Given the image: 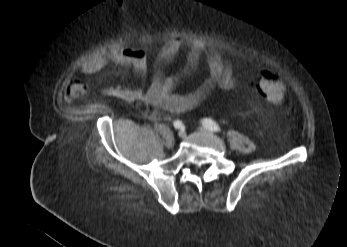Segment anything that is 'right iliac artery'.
<instances>
[{"label":"right iliac artery","mask_w":347,"mask_h":247,"mask_svg":"<svg viewBox=\"0 0 347 247\" xmlns=\"http://www.w3.org/2000/svg\"><path fill=\"white\" fill-rule=\"evenodd\" d=\"M173 125H174V127H175L176 129H178V128L182 127V122L179 121V120H177V121H175V122L173 123Z\"/></svg>","instance_id":"82829eb1"}]
</instances>
